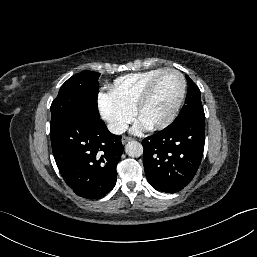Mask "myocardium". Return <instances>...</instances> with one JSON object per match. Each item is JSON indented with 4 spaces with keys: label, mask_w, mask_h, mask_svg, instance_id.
Returning <instances> with one entry per match:
<instances>
[{
    "label": "myocardium",
    "mask_w": 257,
    "mask_h": 257,
    "mask_svg": "<svg viewBox=\"0 0 257 257\" xmlns=\"http://www.w3.org/2000/svg\"><path fill=\"white\" fill-rule=\"evenodd\" d=\"M167 73H175L180 77V79H181V92H180L179 98H178L176 104L174 105V107L172 108L171 112L163 120L147 126V128L149 130H152V131L153 130H161V129H164L167 126H169L175 120V118L177 117L178 112H179V110L182 106V103L184 101V98H185L186 88H187V81H186V78L183 75V73H181L179 70L173 69V68L163 69L159 74H157L149 82V84L145 87V89L143 90V92L139 96V98H138V100L135 104V107H134L135 116L137 118L140 117V114H141L144 106L150 100L158 81L160 80V78L163 75H165Z\"/></svg>",
    "instance_id": "myocardium-1"
}]
</instances>
